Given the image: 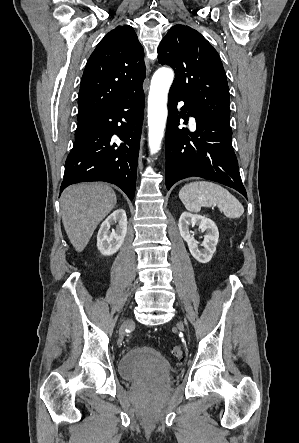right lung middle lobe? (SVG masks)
<instances>
[{"label": "right lung middle lobe", "instance_id": "obj_1", "mask_svg": "<svg viewBox=\"0 0 299 443\" xmlns=\"http://www.w3.org/2000/svg\"><path fill=\"white\" fill-rule=\"evenodd\" d=\"M86 124H87V121L86 122H79L77 124L75 136H78L82 132V130L85 128Z\"/></svg>", "mask_w": 299, "mask_h": 443}]
</instances>
